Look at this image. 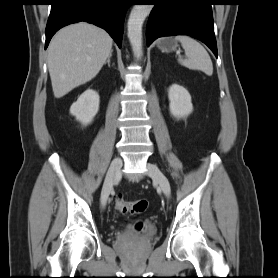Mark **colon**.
I'll list each match as a JSON object with an SVG mask.
<instances>
[{
  "label": "colon",
  "instance_id": "1",
  "mask_svg": "<svg viewBox=\"0 0 278 278\" xmlns=\"http://www.w3.org/2000/svg\"><path fill=\"white\" fill-rule=\"evenodd\" d=\"M148 207V201L146 199H140L136 201H125L123 199H117L115 203V209L121 214H140L146 211ZM142 224H138V228H141Z\"/></svg>",
  "mask_w": 278,
  "mask_h": 278
}]
</instances>
